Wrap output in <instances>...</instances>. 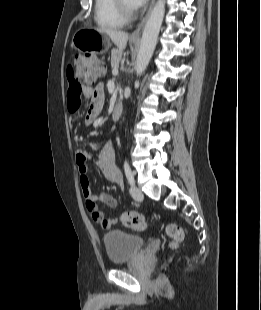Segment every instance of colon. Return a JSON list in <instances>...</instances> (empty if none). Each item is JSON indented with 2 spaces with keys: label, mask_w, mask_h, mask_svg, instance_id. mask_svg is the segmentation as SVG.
Masks as SVG:
<instances>
[{
  "label": "colon",
  "mask_w": 261,
  "mask_h": 310,
  "mask_svg": "<svg viewBox=\"0 0 261 310\" xmlns=\"http://www.w3.org/2000/svg\"><path fill=\"white\" fill-rule=\"evenodd\" d=\"M76 69L75 82L78 85L92 83L98 76L103 73V64L88 54H78L74 58ZM120 220L123 225L134 230H144L148 227V219L139 213L133 211H125L121 214ZM165 233L170 238V247L178 248L184 241V233L182 228L176 223H169L165 227Z\"/></svg>",
  "instance_id": "5ec220e1"
}]
</instances>
